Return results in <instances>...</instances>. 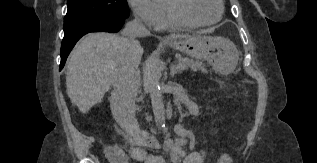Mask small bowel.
<instances>
[{
    "label": "small bowel",
    "instance_id": "small-bowel-1",
    "mask_svg": "<svg viewBox=\"0 0 317 163\" xmlns=\"http://www.w3.org/2000/svg\"><path fill=\"white\" fill-rule=\"evenodd\" d=\"M188 108L192 115L198 113L195 105L189 104ZM175 130L177 138L168 140L165 143V149L171 153L172 163H205V154L203 152L195 151L191 146H187V143L192 139V134L180 124L176 125ZM106 156L110 163H128L127 155L124 152L117 157H113L107 149ZM130 156L140 163H166L164 157L147 154L140 147L131 148Z\"/></svg>",
    "mask_w": 317,
    "mask_h": 163
}]
</instances>
